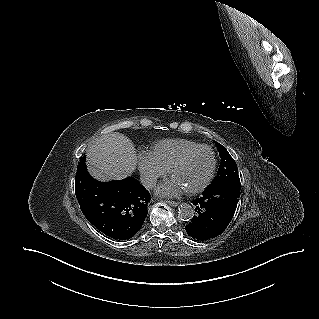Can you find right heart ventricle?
I'll list each match as a JSON object with an SVG mask.
<instances>
[{"label": "right heart ventricle", "instance_id": "obj_1", "mask_svg": "<svg viewBox=\"0 0 319 319\" xmlns=\"http://www.w3.org/2000/svg\"><path fill=\"white\" fill-rule=\"evenodd\" d=\"M197 145L199 143L184 138L163 139L155 142L148 153L157 164L165 170H169L172 163L184 151Z\"/></svg>", "mask_w": 319, "mask_h": 319}]
</instances>
